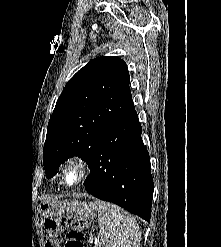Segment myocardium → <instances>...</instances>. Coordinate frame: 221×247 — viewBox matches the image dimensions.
<instances>
[{"label": "myocardium", "mask_w": 221, "mask_h": 247, "mask_svg": "<svg viewBox=\"0 0 221 247\" xmlns=\"http://www.w3.org/2000/svg\"><path fill=\"white\" fill-rule=\"evenodd\" d=\"M76 171L78 178L75 182L69 183L67 181V176L70 171ZM90 166L89 162L82 156H74L69 158L62 169L61 181L64 185L68 187H75L81 185L89 176Z\"/></svg>", "instance_id": "obj_1"}]
</instances>
